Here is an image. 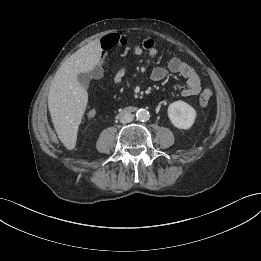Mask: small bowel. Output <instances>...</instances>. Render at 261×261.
<instances>
[{"label": "small bowel", "instance_id": "small-bowel-1", "mask_svg": "<svg viewBox=\"0 0 261 261\" xmlns=\"http://www.w3.org/2000/svg\"><path fill=\"white\" fill-rule=\"evenodd\" d=\"M102 50V61L93 70L94 78H100L103 74V60L116 47L124 48L137 56L154 57L157 52V46L153 39L145 38L141 43H132L125 36L118 33H111L104 36L100 41ZM178 74L186 80V86L182 90L185 97L196 96L201 91V81L196 71L187 63L178 57L171 58L165 66L155 67L151 72L153 81H161L168 74ZM126 74V67H120L113 77L114 84H119ZM96 115L95 110L88 112V117L93 118Z\"/></svg>", "mask_w": 261, "mask_h": 261}]
</instances>
